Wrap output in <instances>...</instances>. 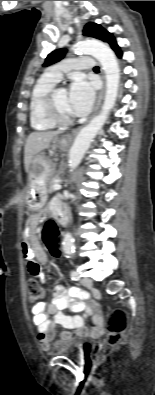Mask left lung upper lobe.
Instances as JSON below:
<instances>
[{
    "label": "left lung upper lobe",
    "mask_w": 155,
    "mask_h": 395,
    "mask_svg": "<svg viewBox=\"0 0 155 395\" xmlns=\"http://www.w3.org/2000/svg\"><path fill=\"white\" fill-rule=\"evenodd\" d=\"M83 35L93 37V38H96V39H99V40L109 43L111 48L114 51L119 50V47H118L113 35L98 24H95V23L86 24V26L84 27V30H83ZM66 52H67L66 49H58V50L53 51L52 53H50L47 56L43 66H49L53 63L60 61L64 57Z\"/></svg>",
    "instance_id": "obj_1"
}]
</instances>
